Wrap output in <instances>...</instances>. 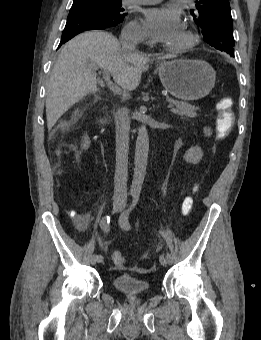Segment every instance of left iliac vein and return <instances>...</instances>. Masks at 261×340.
<instances>
[{
	"label": "left iliac vein",
	"instance_id": "left-iliac-vein-1",
	"mask_svg": "<svg viewBox=\"0 0 261 340\" xmlns=\"http://www.w3.org/2000/svg\"><path fill=\"white\" fill-rule=\"evenodd\" d=\"M159 261H160L161 265H163V266H167L169 264V262L167 261L166 257L163 256V255H160Z\"/></svg>",
	"mask_w": 261,
	"mask_h": 340
}]
</instances>
